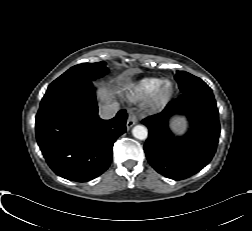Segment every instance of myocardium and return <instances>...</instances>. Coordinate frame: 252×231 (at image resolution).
I'll use <instances>...</instances> for the list:
<instances>
[{
    "label": "myocardium",
    "mask_w": 252,
    "mask_h": 231,
    "mask_svg": "<svg viewBox=\"0 0 252 231\" xmlns=\"http://www.w3.org/2000/svg\"><path fill=\"white\" fill-rule=\"evenodd\" d=\"M176 92V86L170 79H162L159 86L152 94L149 107L151 110H159L164 108L173 98Z\"/></svg>",
    "instance_id": "obj_1"
}]
</instances>
